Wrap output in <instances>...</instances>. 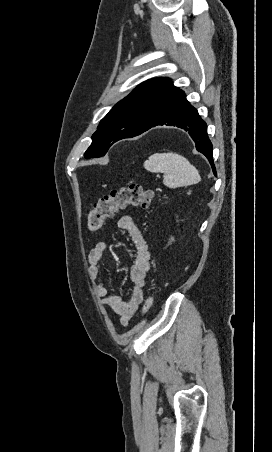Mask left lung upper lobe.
Returning a JSON list of instances; mask_svg holds the SVG:
<instances>
[{
    "mask_svg": "<svg viewBox=\"0 0 272 452\" xmlns=\"http://www.w3.org/2000/svg\"><path fill=\"white\" fill-rule=\"evenodd\" d=\"M178 90L169 78H155L137 86L101 120L84 157L104 156L119 139L144 132Z\"/></svg>",
    "mask_w": 272,
    "mask_h": 452,
    "instance_id": "5c2ea615",
    "label": "left lung upper lobe"
}]
</instances>
